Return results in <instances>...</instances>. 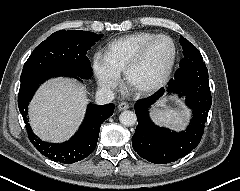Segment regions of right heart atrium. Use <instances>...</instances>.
<instances>
[{
	"label": "right heart atrium",
	"instance_id": "d8ad5b80",
	"mask_svg": "<svg viewBox=\"0 0 240 191\" xmlns=\"http://www.w3.org/2000/svg\"><path fill=\"white\" fill-rule=\"evenodd\" d=\"M92 69L97 83L102 89L113 91L120 84V72L113 66L106 54L101 52H96L94 54Z\"/></svg>",
	"mask_w": 240,
	"mask_h": 191
}]
</instances>
